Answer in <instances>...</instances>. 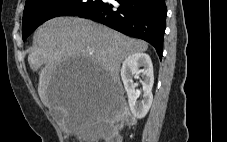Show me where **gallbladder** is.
I'll use <instances>...</instances> for the list:
<instances>
[{
    "label": "gallbladder",
    "mask_w": 227,
    "mask_h": 142,
    "mask_svg": "<svg viewBox=\"0 0 227 142\" xmlns=\"http://www.w3.org/2000/svg\"><path fill=\"white\" fill-rule=\"evenodd\" d=\"M52 113H53V116H54L57 120H61V118H62V113H60V112H58V111H56V110H53Z\"/></svg>",
    "instance_id": "obj_1"
}]
</instances>
